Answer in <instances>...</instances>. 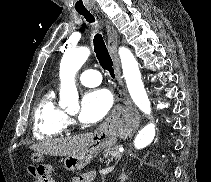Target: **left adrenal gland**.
I'll return each instance as SVG.
<instances>
[{
	"label": "left adrenal gland",
	"mask_w": 211,
	"mask_h": 182,
	"mask_svg": "<svg viewBox=\"0 0 211 182\" xmlns=\"http://www.w3.org/2000/svg\"><path fill=\"white\" fill-rule=\"evenodd\" d=\"M119 179H120V182H125L128 179V175L125 174L124 168L122 169Z\"/></svg>",
	"instance_id": "left-adrenal-gland-1"
}]
</instances>
